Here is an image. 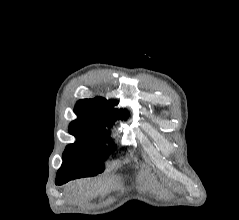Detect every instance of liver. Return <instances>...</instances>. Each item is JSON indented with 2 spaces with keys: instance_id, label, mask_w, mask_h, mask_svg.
<instances>
[{
  "instance_id": "liver-1",
  "label": "liver",
  "mask_w": 239,
  "mask_h": 220,
  "mask_svg": "<svg viewBox=\"0 0 239 220\" xmlns=\"http://www.w3.org/2000/svg\"><path fill=\"white\" fill-rule=\"evenodd\" d=\"M106 188L101 181L80 180L68 185L67 191L75 199H87L98 195Z\"/></svg>"
}]
</instances>
